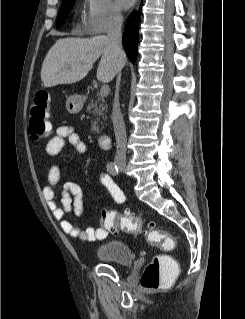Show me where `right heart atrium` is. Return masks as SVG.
Instances as JSON below:
<instances>
[{"instance_id":"right-heart-atrium-1","label":"right heart atrium","mask_w":245,"mask_h":319,"mask_svg":"<svg viewBox=\"0 0 245 319\" xmlns=\"http://www.w3.org/2000/svg\"><path fill=\"white\" fill-rule=\"evenodd\" d=\"M122 20L113 0H85L81 25L88 34H100L118 27Z\"/></svg>"}]
</instances>
